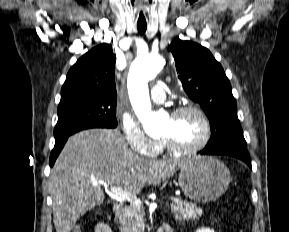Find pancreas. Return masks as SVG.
I'll list each match as a JSON object with an SVG mask.
<instances>
[{"label": "pancreas", "mask_w": 289, "mask_h": 232, "mask_svg": "<svg viewBox=\"0 0 289 232\" xmlns=\"http://www.w3.org/2000/svg\"><path fill=\"white\" fill-rule=\"evenodd\" d=\"M171 210L178 221H189L196 219L202 214V210L194 204L177 202L171 205ZM144 212L141 206L131 204L126 207L120 218L121 232H144Z\"/></svg>", "instance_id": "cf45deb5"}]
</instances>
